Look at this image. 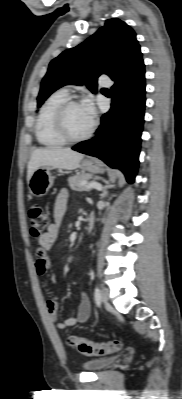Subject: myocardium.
I'll use <instances>...</instances> for the list:
<instances>
[{"label":"myocardium","mask_w":182,"mask_h":399,"mask_svg":"<svg viewBox=\"0 0 182 399\" xmlns=\"http://www.w3.org/2000/svg\"><path fill=\"white\" fill-rule=\"evenodd\" d=\"M81 104V101L75 98H68L65 100L56 110L55 117H54V124H55V129L57 134L60 136L61 139H63L65 142L68 143H79L82 141H85L91 137L93 134L95 127H96V121L92 119V123L90 125V128L88 131L78 137L72 136L67 128L66 125V114L70 107L73 105H78Z\"/></svg>","instance_id":"f54148a6"}]
</instances>
